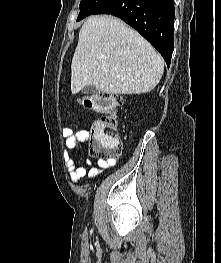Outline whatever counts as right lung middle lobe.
Segmentation results:
<instances>
[{"instance_id": "1", "label": "right lung middle lobe", "mask_w": 221, "mask_h": 263, "mask_svg": "<svg viewBox=\"0 0 221 263\" xmlns=\"http://www.w3.org/2000/svg\"><path fill=\"white\" fill-rule=\"evenodd\" d=\"M106 0H81L79 8L80 13L77 21L93 14Z\"/></svg>"}]
</instances>
